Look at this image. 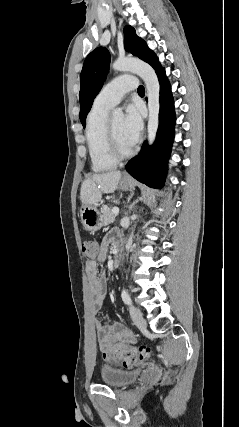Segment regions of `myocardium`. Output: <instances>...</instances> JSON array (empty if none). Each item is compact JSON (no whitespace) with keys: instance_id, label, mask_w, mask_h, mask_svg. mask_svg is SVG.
<instances>
[{"instance_id":"obj_1","label":"myocardium","mask_w":239,"mask_h":427,"mask_svg":"<svg viewBox=\"0 0 239 427\" xmlns=\"http://www.w3.org/2000/svg\"><path fill=\"white\" fill-rule=\"evenodd\" d=\"M106 132H107L106 139H107L108 152L115 161H122L134 155L136 151V148L134 146L132 149L126 152L120 150L115 138L111 121L107 122Z\"/></svg>"}]
</instances>
